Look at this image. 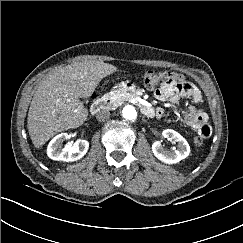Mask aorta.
I'll return each mask as SVG.
<instances>
[{
    "label": "aorta",
    "instance_id": "762f6f07",
    "mask_svg": "<svg viewBox=\"0 0 243 243\" xmlns=\"http://www.w3.org/2000/svg\"><path fill=\"white\" fill-rule=\"evenodd\" d=\"M122 116L129 121H135L137 118V112L134 106L126 105L122 109Z\"/></svg>",
    "mask_w": 243,
    "mask_h": 243
}]
</instances>
